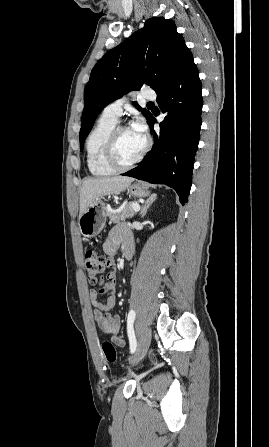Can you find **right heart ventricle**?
Returning a JSON list of instances; mask_svg holds the SVG:
<instances>
[{"label":"right heart ventricle","mask_w":269,"mask_h":447,"mask_svg":"<svg viewBox=\"0 0 269 447\" xmlns=\"http://www.w3.org/2000/svg\"><path fill=\"white\" fill-rule=\"evenodd\" d=\"M116 121L103 113L87 138V166L91 174L95 176H105L115 172L105 159V148L108 135L115 127Z\"/></svg>","instance_id":"e07e8e85"}]
</instances>
